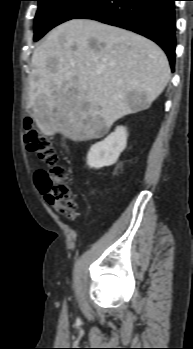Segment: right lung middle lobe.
Segmentation results:
<instances>
[{
  "label": "right lung middle lobe",
  "mask_w": 193,
  "mask_h": 349,
  "mask_svg": "<svg viewBox=\"0 0 193 349\" xmlns=\"http://www.w3.org/2000/svg\"><path fill=\"white\" fill-rule=\"evenodd\" d=\"M39 2L35 16L34 41L53 27L74 19L97 0H36Z\"/></svg>",
  "instance_id": "right-lung-middle-lobe-1"
}]
</instances>
